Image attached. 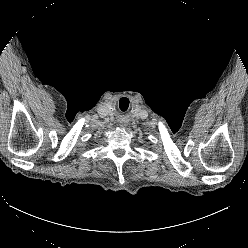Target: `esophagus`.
I'll return each mask as SVG.
<instances>
[{
	"instance_id": "obj_1",
	"label": "esophagus",
	"mask_w": 248,
	"mask_h": 248,
	"mask_svg": "<svg viewBox=\"0 0 248 248\" xmlns=\"http://www.w3.org/2000/svg\"><path fill=\"white\" fill-rule=\"evenodd\" d=\"M120 126L124 127L126 126V124L121 122Z\"/></svg>"
}]
</instances>
